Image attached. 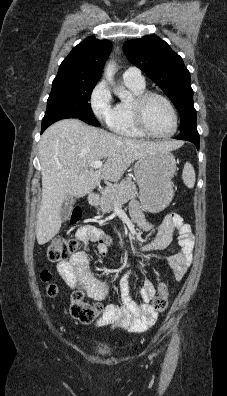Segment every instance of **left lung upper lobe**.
<instances>
[{
    "label": "left lung upper lobe",
    "mask_w": 227,
    "mask_h": 396,
    "mask_svg": "<svg viewBox=\"0 0 227 396\" xmlns=\"http://www.w3.org/2000/svg\"><path fill=\"white\" fill-rule=\"evenodd\" d=\"M129 61L144 71L168 96L181 118V129L196 122L190 73L182 58L157 36L127 41Z\"/></svg>",
    "instance_id": "left-lung-upper-lobe-1"
}]
</instances>
